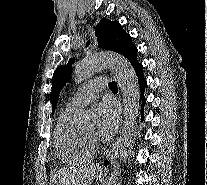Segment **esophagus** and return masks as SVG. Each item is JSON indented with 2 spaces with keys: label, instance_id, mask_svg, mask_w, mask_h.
<instances>
[{
  "label": "esophagus",
  "instance_id": "obj_1",
  "mask_svg": "<svg viewBox=\"0 0 207 185\" xmlns=\"http://www.w3.org/2000/svg\"><path fill=\"white\" fill-rule=\"evenodd\" d=\"M108 71H111V68H108ZM119 123H118V128H125V124H126V119L124 118L123 114L119 115ZM109 157H114V147L110 150V152L108 153V155L106 156L105 160H102V164H101V169L104 171V173H107L108 171V165H109ZM108 179V178H107Z\"/></svg>",
  "mask_w": 207,
  "mask_h": 185
}]
</instances>
